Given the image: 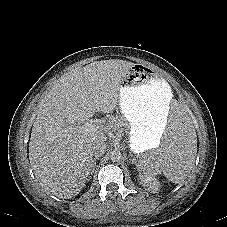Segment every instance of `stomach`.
<instances>
[{
  "instance_id": "obj_1",
  "label": "stomach",
  "mask_w": 227,
  "mask_h": 227,
  "mask_svg": "<svg viewBox=\"0 0 227 227\" xmlns=\"http://www.w3.org/2000/svg\"><path fill=\"white\" fill-rule=\"evenodd\" d=\"M172 90L142 64L130 66L121 80L119 107L128 123L130 149L140 155L155 147L168 128Z\"/></svg>"
}]
</instances>
